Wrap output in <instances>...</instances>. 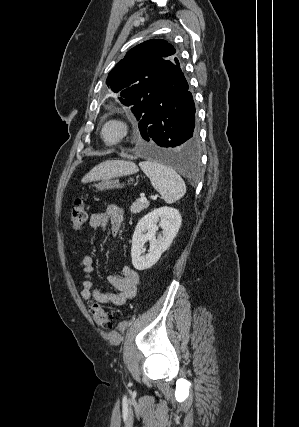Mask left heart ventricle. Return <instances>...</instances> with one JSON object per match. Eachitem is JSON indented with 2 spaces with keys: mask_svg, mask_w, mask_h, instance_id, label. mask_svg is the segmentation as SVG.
I'll list each match as a JSON object with an SVG mask.
<instances>
[{
  "mask_svg": "<svg viewBox=\"0 0 299 427\" xmlns=\"http://www.w3.org/2000/svg\"><path fill=\"white\" fill-rule=\"evenodd\" d=\"M118 134V128L116 125L114 124H110L109 126H107V128L105 129V138L108 141H112L117 137Z\"/></svg>",
  "mask_w": 299,
  "mask_h": 427,
  "instance_id": "left-heart-ventricle-1",
  "label": "left heart ventricle"
}]
</instances>
